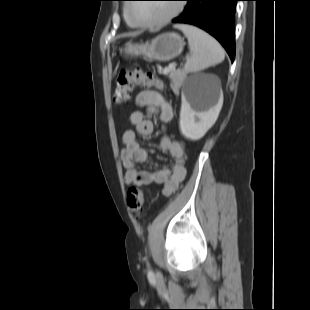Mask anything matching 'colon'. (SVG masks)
Masks as SVG:
<instances>
[{
  "label": "colon",
  "instance_id": "1",
  "mask_svg": "<svg viewBox=\"0 0 310 310\" xmlns=\"http://www.w3.org/2000/svg\"><path fill=\"white\" fill-rule=\"evenodd\" d=\"M135 86L163 88L161 80L152 72L141 68L121 70L115 78L114 101L117 104L127 103ZM127 203L130 209L139 214L144 204L143 191L132 185L127 191Z\"/></svg>",
  "mask_w": 310,
  "mask_h": 310
}]
</instances>
